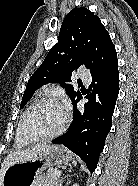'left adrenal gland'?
I'll return each instance as SVG.
<instances>
[{
	"mask_svg": "<svg viewBox=\"0 0 138 186\" xmlns=\"http://www.w3.org/2000/svg\"><path fill=\"white\" fill-rule=\"evenodd\" d=\"M69 175L67 174L64 178H62L59 183H58V186H62L63 184V181L68 177Z\"/></svg>",
	"mask_w": 138,
	"mask_h": 186,
	"instance_id": "a2214340",
	"label": "left adrenal gland"
}]
</instances>
